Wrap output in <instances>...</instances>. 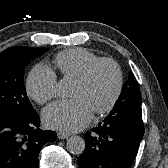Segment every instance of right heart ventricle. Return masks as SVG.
Here are the masks:
<instances>
[{"label": "right heart ventricle", "instance_id": "right-heart-ventricle-1", "mask_svg": "<svg viewBox=\"0 0 168 168\" xmlns=\"http://www.w3.org/2000/svg\"><path fill=\"white\" fill-rule=\"evenodd\" d=\"M98 58L99 56L88 49L71 48L58 53L55 64L64 77L77 78Z\"/></svg>", "mask_w": 168, "mask_h": 168}]
</instances>
